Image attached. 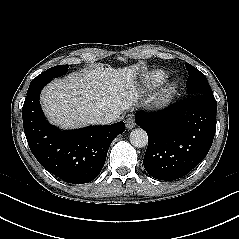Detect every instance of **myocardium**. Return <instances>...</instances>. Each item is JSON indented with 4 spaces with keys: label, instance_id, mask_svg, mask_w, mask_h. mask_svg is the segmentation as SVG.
I'll use <instances>...</instances> for the list:
<instances>
[{
    "label": "myocardium",
    "instance_id": "f54148a6",
    "mask_svg": "<svg viewBox=\"0 0 239 239\" xmlns=\"http://www.w3.org/2000/svg\"><path fill=\"white\" fill-rule=\"evenodd\" d=\"M178 91V84L171 82L164 85L153 97L152 103L158 108L165 107L171 103Z\"/></svg>",
    "mask_w": 239,
    "mask_h": 239
}]
</instances>
